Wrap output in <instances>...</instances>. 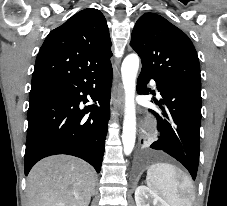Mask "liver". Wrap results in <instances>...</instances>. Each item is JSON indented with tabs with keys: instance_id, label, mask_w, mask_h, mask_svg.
Returning a JSON list of instances; mask_svg holds the SVG:
<instances>
[{
	"instance_id": "liver-1",
	"label": "liver",
	"mask_w": 227,
	"mask_h": 206,
	"mask_svg": "<svg viewBox=\"0 0 227 206\" xmlns=\"http://www.w3.org/2000/svg\"><path fill=\"white\" fill-rule=\"evenodd\" d=\"M94 171L85 161L66 155L39 161L27 178L28 206H88Z\"/></svg>"
}]
</instances>
